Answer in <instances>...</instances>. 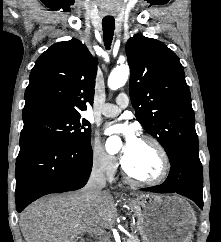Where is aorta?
<instances>
[{
  "mask_svg": "<svg viewBox=\"0 0 221 242\" xmlns=\"http://www.w3.org/2000/svg\"><path fill=\"white\" fill-rule=\"evenodd\" d=\"M129 67L128 65H120L112 70L108 78V87L111 90H117L124 86L129 77ZM121 146V141L118 137L112 136L107 140L106 147L109 151L114 149H119Z\"/></svg>",
  "mask_w": 221,
  "mask_h": 242,
  "instance_id": "762f6f07",
  "label": "aorta"
}]
</instances>
